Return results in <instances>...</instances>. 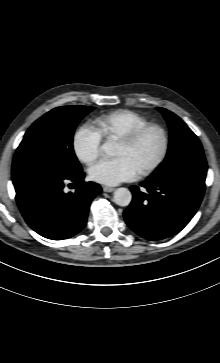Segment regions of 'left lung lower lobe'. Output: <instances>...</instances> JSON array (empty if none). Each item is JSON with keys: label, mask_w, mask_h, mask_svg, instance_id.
I'll list each match as a JSON object with an SVG mask.
<instances>
[{"label": "left lung lower lobe", "mask_w": 220, "mask_h": 363, "mask_svg": "<svg viewBox=\"0 0 220 363\" xmlns=\"http://www.w3.org/2000/svg\"><path fill=\"white\" fill-rule=\"evenodd\" d=\"M207 163L189 158L146 181L131 186L133 200L124 211L127 225L148 240H161L181 231L197 212L205 189Z\"/></svg>", "instance_id": "obj_1"}]
</instances>
